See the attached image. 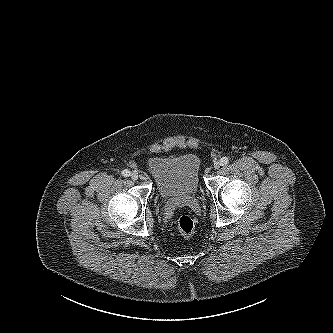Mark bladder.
Listing matches in <instances>:
<instances>
[{
    "label": "bladder",
    "instance_id": "1",
    "mask_svg": "<svg viewBox=\"0 0 333 333\" xmlns=\"http://www.w3.org/2000/svg\"><path fill=\"white\" fill-rule=\"evenodd\" d=\"M147 170L162 198L191 197L199 191L201 159L196 153L153 157Z\"/></svg>",
    "mask_w": 333,
    "mask_h": 333
}]
</instances>
